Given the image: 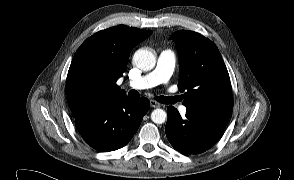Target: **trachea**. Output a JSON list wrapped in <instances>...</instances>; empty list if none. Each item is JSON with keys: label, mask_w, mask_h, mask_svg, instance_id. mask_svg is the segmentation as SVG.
Returning <instances> with one entry per match:
<instances>
[{"label": "trachea", "mask_w": 294, "mask_h": 180, "mask_svg": "<svg viewBox=\"0 0 294 180\" xmlns=\"http://www.w3.org/2000/svg\"><path fill=\"white\" fill-rule=\"evenodd\" d=\"M128 95H129V97H132V98H137L140 96L136 90H131L128 93ZM155 100H157L158 102L163 103V104H173L176 102L175 97H166V96H156Z\"/></svg>", "instance_id": "1"}]
</instances>
